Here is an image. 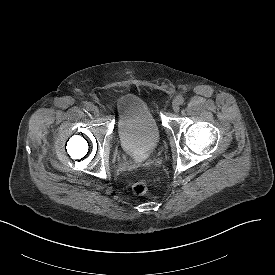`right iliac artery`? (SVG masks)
Instances as JSON below:
<instances>
[{
    "mask_svg": "<svg viewBox=\"0 0 275 275\" xmlns=\"http://www.w3.org/2000/svg\"><path fill=\"white\" fill-rule=\"evenodd\" d=\"M92 107H93V104L90 103V102H88V103L85 105V108H86V110H88V111H91V110H92Z\"/></svg>",
    "mask_w": 275,
    "mask_h": 275,
    "instance_id": "right-iliac-artery-1",
    "label": "right iliac artery"
}]
</instances>
